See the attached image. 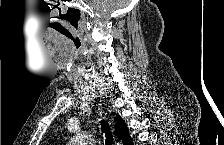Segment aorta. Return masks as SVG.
<instances>
[{
	"label": "aorta",
	"mask_w": 224,
	"mask_h": 145,
	"mask_svg": "<svg viewBox=\"0 0 224 145\" xmlns=\"http://www.w3.org/2000/svg\"><path fill=\"white\" fill-rule=\"evenodd\" d=\"M75 143L78 145L88 144V135L86 133H81L75 138Z\"/></svg>",
	"instance_id": "1"
}]
</instances>
